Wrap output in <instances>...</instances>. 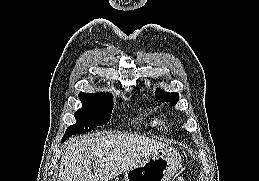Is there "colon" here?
Masks as SVG:
<instances>
[{
  "label": "colon",
  "mask_w": 259,
  "mask_h": 181,
  "mask_svg": "<svg viewBox=\"0 0 259 181\" xmlns=\"http://www.w3.org/2000/svg\"><path fill=\"white\" fill-rule=\"evenodd\" d=\"M177 181H185L184 177H179Z\"/></svg>",
  "instance_id": "1"
}]
</instances>
